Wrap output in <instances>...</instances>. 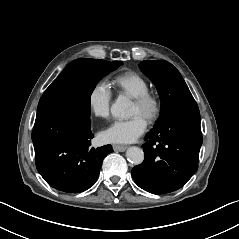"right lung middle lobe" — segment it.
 Returning <instances> with one entry per match:
<instances>
[{
	"label": "right lung middle lobe",
	"mask_w": 239,
	"mask_h": 239,
	"mask_svg": "<svg viewBox=\"0 0 239 239\" xmlns=\"http://www.w3.org/2000/svg\"><path fill=\"white\" fill-rule=\"evenodd\" d=\"M123 63L79 58L66 66L43 93L38 110L53 104L76 102L90 110L91 94L99 80Z\"/></svg>",
	"instance_id": "dd1d6c3e"
}]
</instances>
